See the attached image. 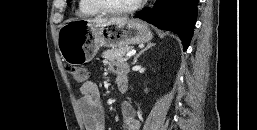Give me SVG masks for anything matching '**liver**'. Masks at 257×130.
I'll use <instances>...</instances> for the list:
<instances>
[{
	"label": "liver",
	"instance_id": "6515ba94",
	"mask_svg": "<svg viewBox=\"0 0 257 130\" xmlns=\"http://www.w3.org/2000/svg\"><path fill=\"white\" fill-rule=\"evenodd\" d=\"M126 18H110V19H107V18H95V19H89L87 20V22L89 24H94V25H98V24H104V23H114V22H118V21H121V20H124Z\"/></svg>",
	"mask_w": 257,
	"mask_h": 130
}]
</instances>
